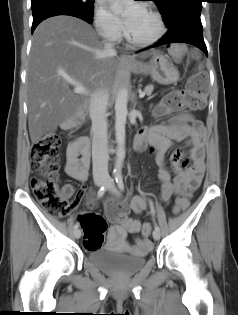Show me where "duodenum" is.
<instances>
[{
  "mask_svg": "<svg viewBox=\"0 0 238 315\" xmlns=\"http://www.w3.org/2000/svg\"><path fill=\"white\" fill-rule=\"evenodd\" d=\"M134 149H135L136 151H139L138 145H137V143H136L135 140H134Z\"/></svg>",
  "mask_w": 238,
  "mask_h": 315,
  "instance_id": "410a0bca",
  "label": "duodenum"
}]
</instances>
